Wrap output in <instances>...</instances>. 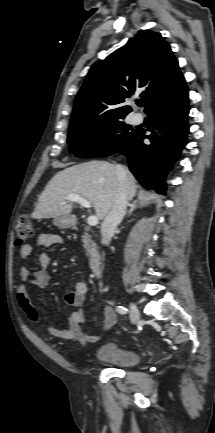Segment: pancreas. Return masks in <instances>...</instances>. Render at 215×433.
I'll return each instance as SVG.
<instances>
[{"instance_id":"pancreas-1","label":"pancreas","mask_w":215,"mask_h":433,"mask_svg":"<svg viewBox=\"0 0 215 433\" xmlns=\"http://www.w3.org/2000/svg\"><path fill=\"white\" fill-rule=\"evenodd\" d=\"M89 229L85 228L83 238V246L89 256H93L97 252L96 243L92 240L91 235L88 234Z\"/></svg>"}]
</instances>
